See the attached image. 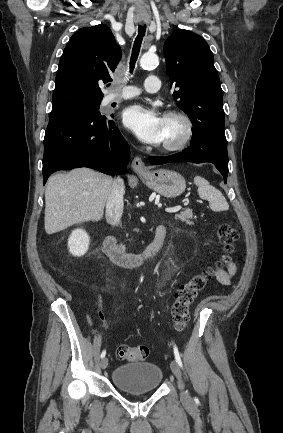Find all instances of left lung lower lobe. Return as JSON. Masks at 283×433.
<instances>
[{
    "mask_svg": "<svg viewBox=\"0 0 283 433\" xmlns=\"http://www.w3.org/2000/svg\"><path fill=\"white\" fill-rule=\"evenodd\" d=\"M149 161L153 165L170 162L213 163L223 175L224 182L226 183L228 155L224 129L215 125L194 128L189 148L171 156H152L149 158Z\"/></svg>",
    "mask_w": 283,
    "mask_h": 433,
    "instance_id": "1",
    "label": "left lung lower lobe"
}]
</instances>
